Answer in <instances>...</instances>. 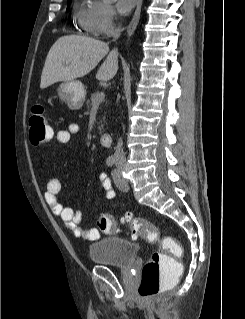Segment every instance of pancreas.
Instances as JSON below:
<instances>
[{"label": "pancreas", "instance_id": "1", "mask_svg": "<svg viewBox=\"0 0 245 319\" xmlns=\"http://www.w3.org/2000/svg\"><path fill=\"white\" fill-rule=\"evenodd\" d=\"M99 94V92H95L91 94L90 99L87 101V108L90 109L91 105L93 104V101L95 100L96 96ZM101 123V122H100ZM98 129L101 131L103 129V124H100L98 126Z\"/></svg>", "mask_w": 245, "mask_h": 319}]
</instances>
